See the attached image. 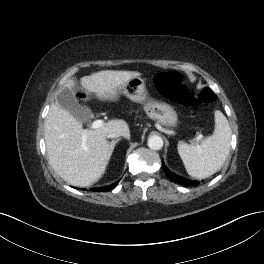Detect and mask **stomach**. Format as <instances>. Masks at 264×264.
I'll use <instances>...</instances> for the list:
<instances>
[{
  "label": "stomach",
  "instance_id": "0dacf381",
  "mask_svg": "<svg viewBox=\"0 0 264 264\" xmlns=\"http://www.w3.org/2000/svg\"><path fill=\"white\" fill-rule=\"evenodd\" d=\"M121 93L132 101L142 104L144 111L149 118L157 121L165 127H176L178 122L176 111L172 106L165 102L149 98L145 88V82L142 78L134 77L130 79L125 84L116 88L108 96V99H115Z\"/></svg>",
  "mask_w": 264,
  "mask_h": 264
}]
</instances>
